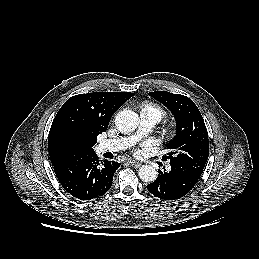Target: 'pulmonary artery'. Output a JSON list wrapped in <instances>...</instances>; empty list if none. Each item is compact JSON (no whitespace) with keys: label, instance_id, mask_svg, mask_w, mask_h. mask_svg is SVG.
Listing matches in <instances>:
<instances>
[{"label":"pulmonary artery","instance_id":"obj_1","mask_svg":"<svg viewBox=\"0 0 259 259\" xmlns=\"http://www.w3.org/2000/svg\"><path fill=\"white\" fill-rule=\"evenodd\" d=\"M158 121L159 118L156 114L147 111H142L140 114L139 129L135 134L126 137H120L117 139L105 140L99 144V151L114 152L132 146L143 136L150 133L155 127V125L158 123Z\"/></svg>","mask_w":259,"mask_h":259}]
</instances>
